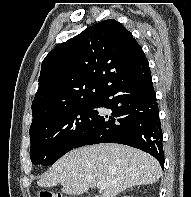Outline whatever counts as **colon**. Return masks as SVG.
Returning a JSON list of instances; mask_svg holds the SVG:
<instances>
[{"label":"colon","instance_id":"1","mask_svg":"<svg viewBox=\"0 0 191 197\" xmlns=\"http://www.w3.org/2000/svg\"><path fill=\"white\" fill-rule=\"evenodd\" d=\"M40 197H64V196L58 193L43 191L41 192Z\"/></svg>","mask_w":191,"mask_h":197}]
</instances>
